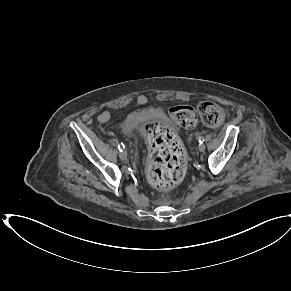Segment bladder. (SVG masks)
<instances>
[{
    "label": "bladder",
    "instance_id": "1",
    "mask_svg": "<svg viewBox=\"0 0 291 291\" xmlns=\"http://www.w3.org/2000/svg\"><path fill=\"white\" fill-rule=\"evenodd\" d=\"M123 129L127 133L139 131L141 129L140 116L126 118L123 123Z\"/></svg>",
    "mask_w": 291,
    "mask_h": 291
}]
</instances>
